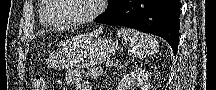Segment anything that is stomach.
I'll return each instance as SVG.
<instances>
[{"label": "stomach", "instance_id": "stomach-1", "mask_svg": "<svg viewBox=\"0 0 216 90\" xmlns=\"http://www.w3.org/2000/svg\"><path fill=\"white\" fill-rule=\"evenodd\" d=\"M116 48V43L111 39H90L76 50L52 55L48 64L55 69L96 66L110 59Z\"/></svg>", "mask_w": 216, "mask_h": 90}]
</instances>
